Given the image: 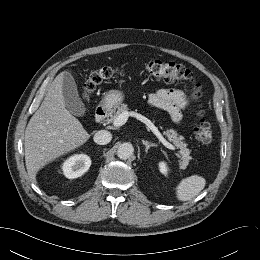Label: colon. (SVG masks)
I'll use <instances>...</instances> for the list:
<instances>
[{
  "label": "colon",
  "instance_id": "obj_1",
  "mask_svg": "<svg viewBox=\"0 0 260 260\" xmlns=\"http://www.w3.org/2000/svg\"><path fill=\"white\" fill-rule=\"evenodd\" d=\"M144 71L156 80L177 84L186 83L189 86V97L192 101L198 102L201 97L200 84L197 83L189 69L172 61L151 60L144 64ZM116 74V69L112 67H102L90 72L84 83V94L90 95L101 82L112 78ZM197 124L194 128L196 139L208 144L212 140V128L204 117V111L199 107L196 110Z\"/></svg>",
  "mask_w": 260,
  "mask_h": 260
}]
</instances>
